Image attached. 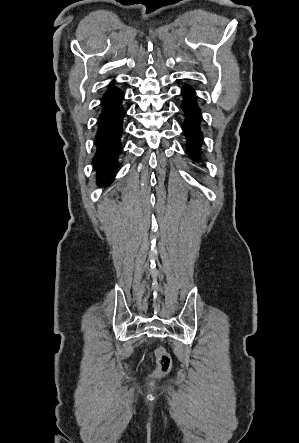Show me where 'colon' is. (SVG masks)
Masks as SVG:
<instances>
[{
	"label": "colon",
	"mask_w": 299,
	"mask_h": 443,
	"mask_svg": "<svg viewBox=\"0 0 299 443\" xmlns=\"http://www.w3.org/2000/svg\"><path fill=\"white\" fill-rule=\"evenodd\" d=\"M154 357L157 362L156 370L151 374V378L153 379H161L165 377L170 369H171V357L166 352V350L162 347L155 349Z\"/></svg>",
	"instance_id": "colon-1"
}]
</instances>
